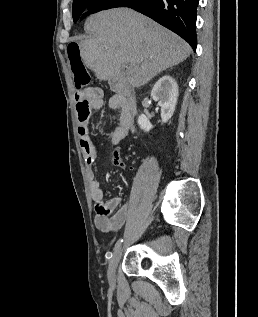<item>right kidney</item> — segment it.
Listing matches in <instances>:
<instances>
[{"instance_id": "obj_1", "label": "right kidney", "mask_w": 258, "mask_h": 317, "mask_svg": "<svg viewBox=\"0 0 258 317\" xmlns=\"http://www.w3.org/2000/svg\"><path fill=\"white\" fill-rule=\"evenodd\" d=\"M151 96L153 100H158V104L161 106L162 122H167V120L171 118L177 102L178 84L176 80H174L172 76H169V74H164V76H161L156 84H154L151 90ZM137 122L140 128H143L146 132L150 130V128H153V124H151L146 114H140Z\"/></svg>"}]
</instances>
